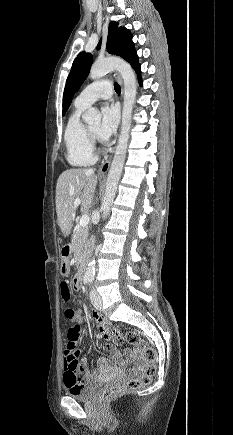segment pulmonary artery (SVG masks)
<instances>
[{
  "label": "pulmonary artery",
  "instance_id": "obj_1",
  "mask_svg": "<svg viewBox=\"0 0 233 435\" xmlns=\"http://www.w3.org/2000/svg\"><path fill=\"white\" fill-rule=\"evenodd\" d=\"M112 95V86L107 80H100L88 85L75 99V104L87 107L98 99H109Z\"/></svg>",
  "mask_w": 233,
  "mask_h": 435
}]
</instances>
